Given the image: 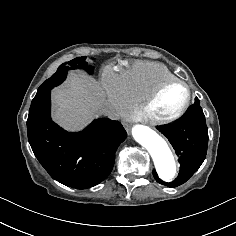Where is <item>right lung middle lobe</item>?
<instances>
[{"instance_id":"right-lung-middle-lobe-1","label":"right lung middle lobe","mask_w":236,"mask_h":236,"mask_svg":"<svg viewBox=\"0 0 236 236\" xmlns=\"http://www.w3.org/2000/svg\"><path fill=\"white\" fill-rule=\"evenodd\" d=\"M76 68H84L90 74H92L93 72V67L89 66L88 63L86 62V56L77 57L69 62H65L59 66L56 73H54L38 88L36 96H40L45 92H47L48 90H51L53 87L62 83L67 76L68 70Z\"/></svg>"}]
</instances>
